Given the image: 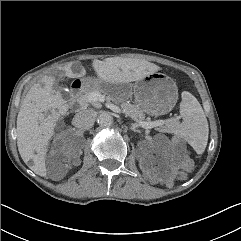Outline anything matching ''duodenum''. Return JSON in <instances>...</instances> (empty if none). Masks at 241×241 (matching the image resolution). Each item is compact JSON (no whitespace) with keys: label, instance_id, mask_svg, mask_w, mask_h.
Listing matches in <instances>:
<instances>
[{"label":"duodenum","instance_id":"1","mask_svg":"<svg viewBox=\"0 0 241 241\" xmlns=\"http://www.w3.org/2000/svg\"><path fill=\"white\" fill-rule=\"evenodd\" d=\"M87 86V82L83 80H76L72 83L71 100L74 103L80 96L81 92Z\"/></svg>","mask_w":241,"mask_h":241}]
</instances>
